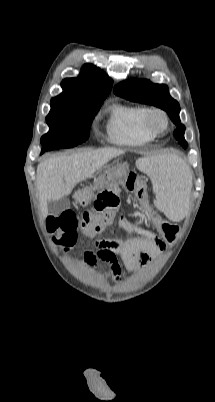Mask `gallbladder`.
Returning <instances> with one entry per match:
<instances>
[{"mask_svg": "<svg viewBox=\"0 0 215 402\" xmlns=\"http://www.w3.org/2000/svg\"><path fill=\"white\" fill-rule=\"evenodd\" d=\"M47 206H48V211L50 214L59 215L63 211H65L69 208L70 202H69L68 198L63 197L59 200L48 201Z\"/></svg>", "mask_w": 215, "mask_h": 402, "instance_id": "1", "label": "gallbladder"}]
</instances>
